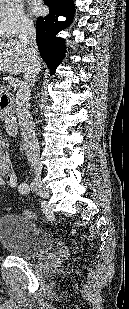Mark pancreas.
<instances>
[{"label": "pancreas", "mask_w": 129, "mask_h": 309, "mask_svg": "<svg viewBox=\"0 0 129 309\" xmlns=\"http://www.w3.org/2000/svg\"><path fill=\"white\" fill-rule=\"evenodd\" d=\"M4 89V86L3 85H0V92H2Z\"/></svg>", "instance_id": "1"}]
</instances>
